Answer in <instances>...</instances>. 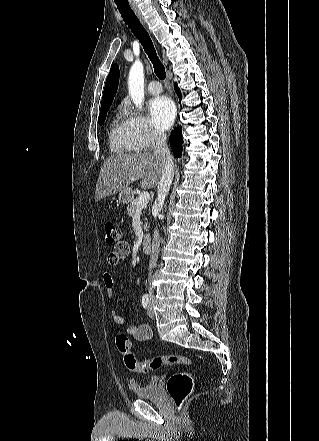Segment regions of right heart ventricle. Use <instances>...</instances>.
I'll return each mask as SVG.
<instances>
[{
  "label": "right heart ventricle",
  "instance_id": "right-heart-ventricle-1",
  "mask_svg": "<svg viewBox=\"0 0 319 441\" xmlns=\"http://www.w3.org/2000/svg\"><path fill=\"white\" fill-rule=\"evenodd\" d=\"M109 146L115 153H132L136 151L129 139L126 121L118 116L113 118L110 124Z\"/></svg>",
  "mask_w": 319,
  "mask_h": 441
}]
</instances>
